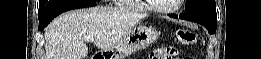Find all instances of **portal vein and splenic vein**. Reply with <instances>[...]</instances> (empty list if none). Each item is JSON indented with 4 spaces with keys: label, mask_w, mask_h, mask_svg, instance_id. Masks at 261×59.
<instances>
[{
    "label": "portal vein and splenic vein",
    "mask_w": 261,
    "mask_h": 59,
    "mask_svg": "<svg viewBox=\"0 0 261 59\" xmlns=\"http://www.w3.org/2000/svg\"><path fill=\"white\" fill-rule=\"evenodd\" d=\"M86 40H87V41H93V40H94V37H93V36H88V37L86 38Z\"/></svg>",
    "instance_id": "18ae733b"
}]
</instances>
